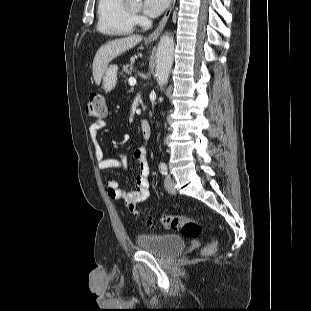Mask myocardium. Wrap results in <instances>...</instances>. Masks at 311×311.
<instances>
[{
  "mask_svg": "<svg viewBox=\"0 0 311 311\" xmlns=\"http://www.w3.org/2000/svg\"><path fill=\"white\" fill-rule=\"evenodd\" d=\"M125 7L129 13V15L135 20L137 12L132 10L127 3H125Z\"/></svg>",
  "mask_w": 311,
  "mask_h": 311,
  "instance_id": "obj_1",
  "label": "myocardium"
}]
</instances>
